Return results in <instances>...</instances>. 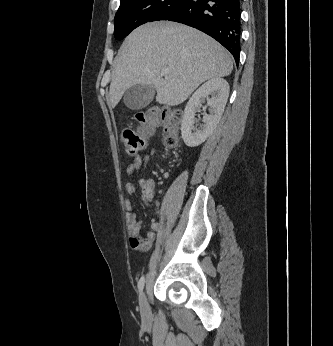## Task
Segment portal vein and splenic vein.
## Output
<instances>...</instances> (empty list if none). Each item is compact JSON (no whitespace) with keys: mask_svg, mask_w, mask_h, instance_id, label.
Returning a JSON list of instances; mask_svg holds the SVG:
<instances>
[{"mask_svg":"<svg viewBox=\"0 0 333 346\" xmlns=\"http://www.w3.org/2000/svg\"><path fill=\"white\" fill-rule=\"evenodd\" d=\"M168 73H169V69H168V68H162V69H161V75L167 76Z\"/></svg>","mask_w":333,"mask_h":346,"instance_id":"18ae733b","label":"portal vein and splenic vein"}]
</instances>
